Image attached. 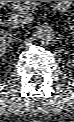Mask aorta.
<instances>
[{
	"instance_id": "obj_1",
	"label": "aorta",
	"mask_w": 74,
	"mask_h": 122,
	"mask_svg": "<svg viewBox=\"0 0 74 122\" xmlns=\"http://www.w3.org/2000/svg\"><path fill=\"white\" fill-rule=\"evenodd\" d=\"M37 38L42 45H50L56 39V32L51 26L44 25L38 29Z\"/></svg>"
}]
</instances>
